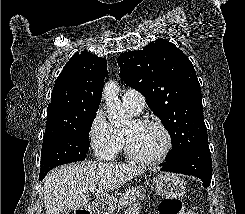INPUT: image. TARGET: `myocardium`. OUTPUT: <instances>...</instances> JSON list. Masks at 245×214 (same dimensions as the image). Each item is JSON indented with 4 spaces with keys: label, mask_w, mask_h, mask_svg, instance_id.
<instances>
[{
    "label": "myocardium",
    "mask_w": 245,
    "mask_h": 214,
    "mask_svg": "<svg viewBox=\"0 0 245 214\" xmlns=\"http://www.w3.org/2000/svg\"><path fill=\"white\" fill-rule=\"evenodd\" d=\"M134 123L137 126H156L158 127L163 132L166 142H165L164 149L159 155L152 157V158H147V157H143L139 155L134 150V148L132 147L130 143V140L123 133V142H124L125 149H126L128 156L132 160L142 163V164H146V165H152V164L162 161L170 153L172 146H173L172 136L168 128L162 122L153 120V119H137L134 121Z\"/></svg>",
    "instance_id": "myocardium-1"
}]
</instances>
